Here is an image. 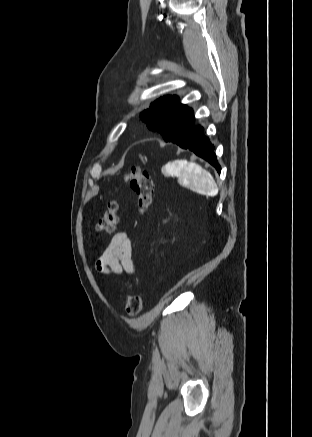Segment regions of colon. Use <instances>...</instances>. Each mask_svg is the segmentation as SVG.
<instances>
[{"mask_svg":"<svg viewBox=\"0 0 312 437\" xmlns=\"http://www.w3.org/2000/svg\"><path fill=\"white\" fill-rule=\"evenodd\" d=\"M124 180L128 182L137 196L138 213L145 215L153 202L154 185L149 172L139 166L130 167L125 175ZM120 206L117 200H110L101 218L96 224L97 231L104 234H111L115 231L119 222ZM126 313L131 316H137L142 310V299L139 295H125Z\"/></svg>","mask_w":312,"mask_h":437,"instance_id":"colon-1","label":"colon"}]
</instances>
